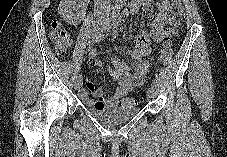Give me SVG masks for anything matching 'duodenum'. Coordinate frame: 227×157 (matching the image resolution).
Listing matches in <instances>:
<instances>
[{"mask_svg": "<svg viewBox=\"0 0 227 157\" xmlns=\"http://www.w3.org/2000/svg\"><path fill=\"white\" fill-rule=\"evenodd\" d=\"M138 11V0H131L130 4L126 8V10L122 13L121 16H117L115 21L117 23H123L125 22L128 18L133 16L136 12Z\"/></svg>", "mask_w": 227, "mask_h": 157, "instance_id": "duodenum-1", "label": "duodenum"}]
</instances>
